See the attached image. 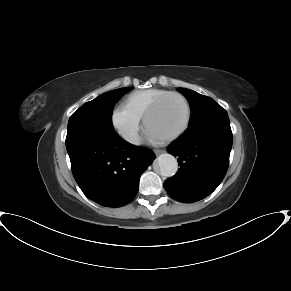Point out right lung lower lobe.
Segmentation results:
<instances>
[{
	"label": "right lung lower lobe",
	"mask_w": 291,
	"mask_h": 291,
	"mask_svg": "<svg viewBox=\"0 0 291 291\" xmlns=\"http://www.w3.org/2000/svg\"><path fill=\"white\" fill-rule=\"evenodd\" d=\"M66 148L83 193L113 208L134 199L141 174L155 159L150 149L124 141L115 130L94 127L68 128Z\"/></svg>",
	"instance_id": "right-lung-lower-lobe-1"
}]
</instances>
